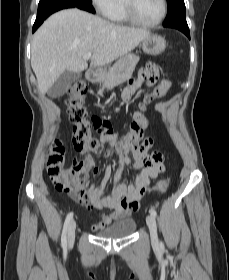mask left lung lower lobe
I'll use <instances>...</instances> for the list:
<instances>
[{
  "label": "left lung lower lobe",
  "mask_w": 229,
  "mask_h": 280,
  "mask_svg": "<svg viewBox=\"0 0 229 280\" xmlns=\"http://www.w3.org/2000/svg\"><path fill=\"white\" fill-rule=\"evenodd\" d=\"M164 27L175 28L183 32L190 39V32L186 20H178L169 24L163 25Z\"/></svg>",
  "instance_id": "obj_1"
}]
</instances>
